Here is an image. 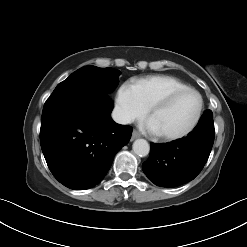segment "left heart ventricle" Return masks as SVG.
<instances>
[{
    "label": "left heart ventricle",
    "instance_id": "1",
    "mask_svg": "<svg viewBox=\"0 0 247 247\" xmlns=\"http://www.w3.org/2000/svg\"><path fill=\"white\" fill-rule=\"evenodd\" d=\"M198 107V96L191 92L184 93L176 97L165 109L155 112L150 121L158 134H178L193 122Z\"/></svg>",
    "mask_w": 247,
    "mask_h": 247
}]
</instances>
